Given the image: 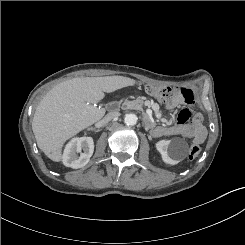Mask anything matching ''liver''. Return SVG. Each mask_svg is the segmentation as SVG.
<instances>
[{"instance_id": "1", "label": "liver", "mask_w": 245, "mask_h": 245, "mask_svg": "<svg viewBox=\"0 0 245 245\" xmlns=\"http://www.w3.org/2000/svg\"><path fill=\"white\" fill-rule=\"evenodd\" d=\"M124 76L77 77L57 84L36 107L32 130L38 147L51 160L62 159V147L71 137L99 121L105 109L95 107L106 93L133 86Z\"/></svg>"}]
</instances>
